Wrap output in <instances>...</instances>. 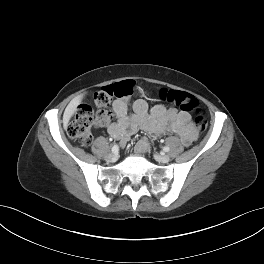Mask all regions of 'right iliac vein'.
Returning <instances> with one entry per match:
<instances>
[{"instance_id": "63e3f726", "label": "right iliac vein", "mask_w": 264, "mask_h": 264, "mask_svg": "<svg viewBox=\"0 0 264 264\" xmlns=\"http://www.w3.org/2000/svg\"><path fill=\"white\" fill-rule=\"evenodd\" d=\"M105 158H106L107 161L115 162L118 157H117L116 154L110 153V154L106 155Z\"/></svg>"}]
</instances>
